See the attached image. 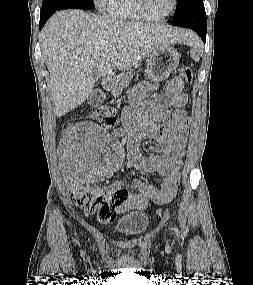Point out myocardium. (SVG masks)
I'll return each mask as SVG.
<instances>
[{
    "label": "myocardium",
    "mask_w": 253,
    "mask_h": 285,
    "mask_svg": "<svg viewBox=\"0 0 253 285\" xmlns=\"http://www.w3.org/2000/svg\"><path fill=\"white\" fill-rule=\"evenodd\" d=\"M135 5H136L138 13L144 20L159 22V21L166 20L167 18H169L175 13L177 6H178V0H173L171 10L166 15H163L160 17H153V16L148 15L145 11L143 0H135Z\"/></svg>",
    "instance_id": "1"
}]
</instances>
